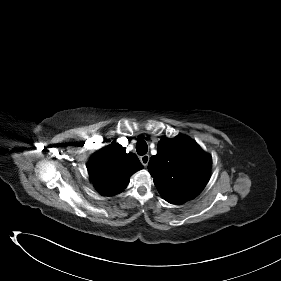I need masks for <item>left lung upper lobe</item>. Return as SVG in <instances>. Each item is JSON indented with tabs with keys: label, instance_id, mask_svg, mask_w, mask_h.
Masks as SVG:
<instances>
[{
	"label": "left lung upper lobe",
	"instance_id": "obj_1",
	"mask_svg": "<svg viewBox=\"0 0 281 281\" xmlns=\"http://www.w3.org/2000/svg\"><path fill=\"white\" fill-rule=\"evenodd\" d=\"M211 156L186 135L163 137L148 170L161 196L171 204H183L198 196L209 180Z\"/></svg>",
	"mask_w": 281,
	"mask_h": 281
}]
</instances>
